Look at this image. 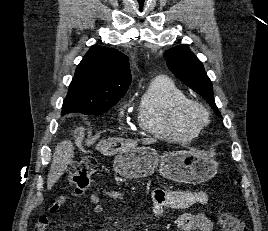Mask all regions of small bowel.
I'll return each mask as SVG.
<instances>
[{"mask_svg": "<svg viewBox=\"0 0 268 231\" xmlns=\"http://www.w3.org/2000/svg\"><path fill=\"white\" fill-rule=\"evenodd\" d=\"M105 195L112 200L127 201L125 196L116 189L106 190ZM88 200L94 213L101 214L104 211L98 194H90ZM193 205H201L208 208V194L204 191H165L158 189L153 194L151 211L154 217L160 218L166 210L185 209ZM57 209L58 206L53 205L49 210L53 212ZM48 225V216L44 214L39 215L33 231H47ZM176 228L178 231H214L209 213H184L176 220Z\"/></svg>", "mask_w": 268, "mask_h": 231, "instance_id": "1", "label": "small bowel"}]
</instances>
